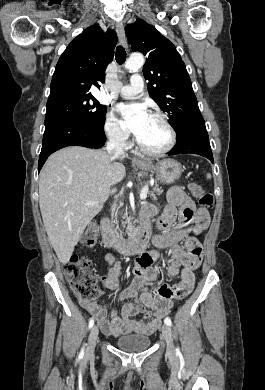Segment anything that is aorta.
Here are the masks:
<instances>
[{"instance_id":"aorta-1","label":"aorta","mask_w":265,"mask_h":390,"mask_svg":"<svg viewBox=\"0 0 265 390\" xmlns=\"http://www.w3.org/2000/svg\"><path fill=\"white\" fill-rule=\"evenodd\" d=\"M144 64V57L140 53L132 54L125 63V68L129 71H136Z\"/></svg>"}]
</instances>
